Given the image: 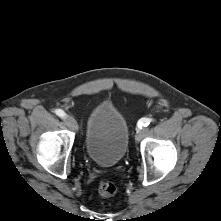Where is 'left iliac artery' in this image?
<instances>
[{
  "label": "left iliac artery",
  "mask_w": 221,
  "mask_h": 221,
  "mask_svg": "<svg viewBox=\"0 0 221 221\" xmlns=\"http://www.w3.org/2000/svg\"><path fill=\"white\" fill-rule=\"evenodd\" d=\"M152 121V119H149V118H142L139 120L138 124H137V127L138 129H142V127H147L150 122Z\"/></svg>",
  "instance_id": "left-iliac-artery-1"
}]
</instances>
